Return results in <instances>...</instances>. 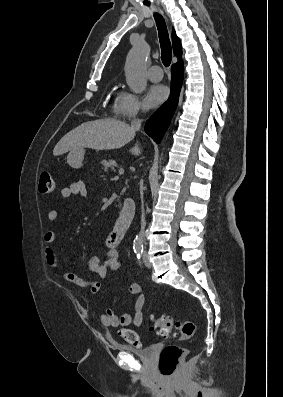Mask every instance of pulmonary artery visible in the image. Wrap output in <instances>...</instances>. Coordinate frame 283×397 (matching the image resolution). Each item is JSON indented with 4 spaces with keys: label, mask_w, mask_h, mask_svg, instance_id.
Wrapping results in <instances>:
<instances>
[{
    "label": "pulmonary artery",
    "mask_w": 283,
    "mask_h": 397,
    "mask_svg": "<svg viewBox=\"0 0 283 397\" xmlns=\"http://www.w3.org/2000/svg\"><path fill=\"white\" fill-rule=\"evenodd\" d=\"M148 77L153 82L161 81L163 77L162 69L158 65H153L148 70Z\"/></svg>",
    "instance_id": "pulmonary-artery-1"
}]
</instances>
